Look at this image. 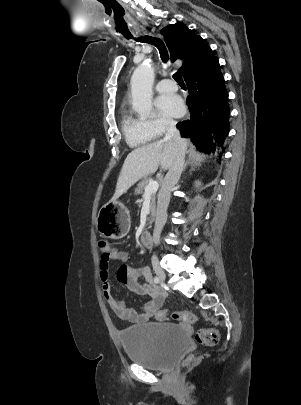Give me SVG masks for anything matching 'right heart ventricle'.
Returning <instances> with one entry per match:
<instances>
[{"label":"right heart ventricle","instance_id":"e07e8e85","mask_svg":"<svg viewBox=\"0 0 301 405\" xmlns=\"http://www.w3.org/2000/svg\"><path fill=\"white\" fill-rule=\"evenodd\" d=\"M121 127L125 139L131 147L145 145L155 138L146 122L133 115L129 110H124L121 115Z\"/></svg>","mask_w":301,"mask_h":405}]
</instances>
